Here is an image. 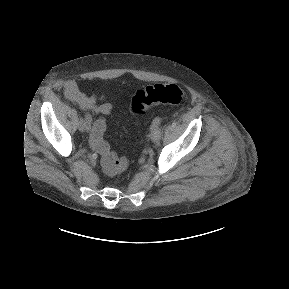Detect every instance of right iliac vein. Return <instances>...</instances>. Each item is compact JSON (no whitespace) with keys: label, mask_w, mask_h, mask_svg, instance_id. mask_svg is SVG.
Here are the masks:
<instances>
[{"label":"right iliac vein","mask_w":289,"mask_h":289,"mask_svg":"<svg viewBox=\"0 0 289 289\" xmlns=\"http://www.w3.org/2000/svg\"><path fill=\"white\" fill-rule=\"evenodd\" d=\"M78 127H79V130L81 132L89 131L90 130V122L82 119V120H80Z\"/></svg>","instance_id":"right-iliac-vein-1"}]
</instances>
